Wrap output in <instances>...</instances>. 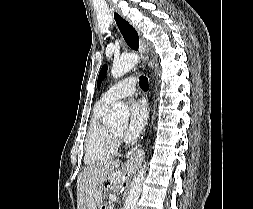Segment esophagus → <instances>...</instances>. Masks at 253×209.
I'll return each mask as SVG.
<instances>
[{
	"label": "esophagus",
	"mask_w": 253,
	"mask_h": 209,
	"mask_svg": "<svg viewBox=\"0 0 253 209\" xmlns=\"http://www.w3.org/2000/svg\"><path fill=\"white\" fill-rule=\"evenodd\" d=\"M113 19L115 21V24L118 28V30L121 32L120 27H125V32H121L122 37L126 43V45L135 53H144L146 46L142 42V39L140 37V33L137 30V28L130 22L128 18L123 16L119 11H113L112 12ZM137 148L131 151L127 158L126 165H133V163L137 160L138 154H137Z\"/></svg>",
	"instance_id": "1"
}]
</instances>
